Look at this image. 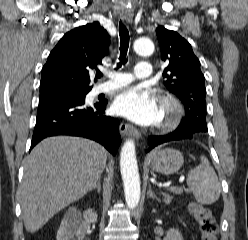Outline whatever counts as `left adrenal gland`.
<instances>
[{
  "label": "left adrenal gland",
  "mask_w": 248,
  "mask_h": 240,
  "mask_svg": "<svg viewBox=\"0 0 248 240\" xmlns=\"http://www.w3.org/2000/svg\"><path fill=\"white\" fill-rule=\"evenodd\" d=\"M147 197L148 198H153V199H156L157 201H159V199L157 198V196L151 190V185L150 184L148 185Z\"/></svg>",
  "instance_id": "a2214340"
}]
</instances>
